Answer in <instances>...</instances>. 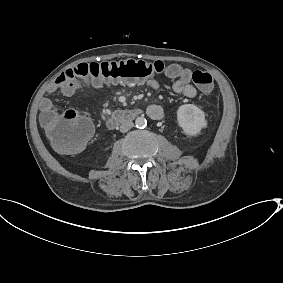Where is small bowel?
I'll return each mask as SVG.
<instances>
[{"instance_id": "c3829d8e", "label": "small bowel", "mask_w": 283, "mask_h": 283, "mask_svg": "<svg viewBox=\"0 0 283 283\" xmlns=\"http://www.w3.org/2000/svg\"><path fill=\"white\" fill-rule=\"evenodd\" d=\"M165 75L174 80L172 89L175 93L183 94L188 98H194L197 95V89L191 83L192 72L182 67L179 64H170L165 68L164 71ZM146 84L154 89L159 90L162 88V84L154 79H148ZM84 86V82L78 83H71L65 82L58 77L53 83H51L47 90L45 96L40 103V107L43 113L45 112H56L57 109L55 108L54 104L52 103L51 99L48 97L50 95H54L56 93H60L64 96H72L79 88ZM94 95L93 92H90L86 95V97H91ZM147 114L154 120H162L164 119L165 113L161 106L156 104H151L146 108Z\"/></svg>"}]
</instances>
